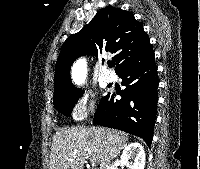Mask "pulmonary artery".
<instances>
[{
	"label": "pulmonary artery",
	"instance_id": "pulmonary-artery-1",
	"mask_svg": "<svg viewBox=\"0 0 200 169\" xmlns=\"http://www.w3.org/2000/svg\"><path fill=\"white\" fill-rule=\"evenodd\" d=\"M101 77H102L103 81H105L107 83L115 80V75L112 72H110L108 69H105L102 72Z\"/></svg>",
	"mask_w": 200,
	"mask_h": 169
}]
</instances>
